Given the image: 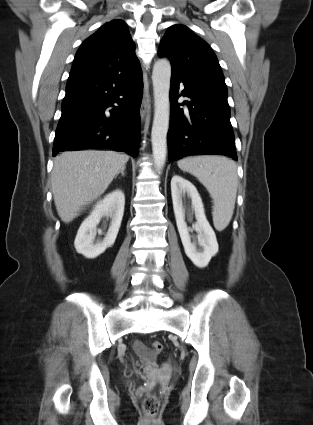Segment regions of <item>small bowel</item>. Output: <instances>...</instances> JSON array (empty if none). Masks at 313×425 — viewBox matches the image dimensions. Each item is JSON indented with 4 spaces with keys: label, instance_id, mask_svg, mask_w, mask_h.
Listing matches in <instances>:
<instances>
[{
    "label": "small bowel",
    "instance_id": "c3829d8e",
    "mask_svg": "<svg viewBox=\"0 0 313 425\" xmlns=\"http://www.w3.org/2000/svg\"><path fill=\"white\" fill-rule=\"evenodd\" d=\"M135 347H136V349H138V350H143V348H144V346H143L140 342H137V343L135 344Z\"/></svg>",
    "mask_w": 313,
    "mask_h": 425
}]
</instances>
